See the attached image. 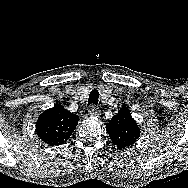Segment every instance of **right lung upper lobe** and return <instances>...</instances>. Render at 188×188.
<instances>
[{"label": "right lung upper lobe", "instance_id": "right-lung-upper-lobe-1", "mask_svg": "<svg viewBox=\"0 0 188 188\" xmlns=\"http://www.w3.org/2000/svg\"><path fill=\"white\" fill-rule=\"evenodd\" d=\"M78 116L64 109L61 104L44 111L36 123L38 137L48 145L67 141L78 124Z\"/></svg>", "mask_w": 188, "mask_h": 188}]
</instances>
